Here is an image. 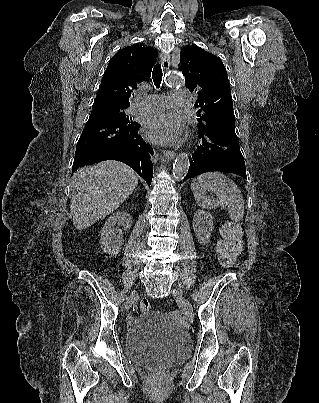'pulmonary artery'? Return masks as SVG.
Listing matches in <instances>:
<instances>
[{
  "label": "pulmonary artery",
  "instance_id": "pulmonary-artery-1",
  "mask_svg": "<svg viewBox=\"0 0 319 403\" xmlns=\"http://www.w3.org/2000/svg\"><path fill=\"white\" fill-rule=\"evenodd\" d=\"M189 98L186 90H174L169 95H145L131 106V112L161 111L170 105L186 107Z\"/></svg>",
  "mask_w": 319,
  "mask_h": 403
}]
</instances>
